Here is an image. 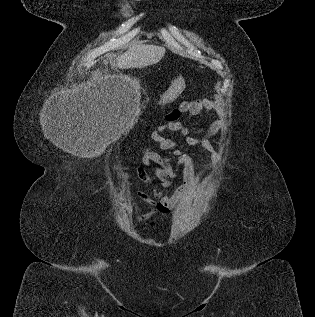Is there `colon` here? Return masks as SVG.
<instances>
[{
	"instance_id": "obj_1",
	"label": "colon",
	"mask_w": 315,
	"mask_h": 317,
	"mask_svg": "<svg viewBox=\"0 0 315 317\" xmlns=\"http://www.w3.org/2000/svg\"><path fill=\"white\" fill-rule=\"evenodd\" d=\"M185 86L186 79L184 77H180L163 102L169 103L174 100L183 91Z\"/></svg>"
}]
</instances>
